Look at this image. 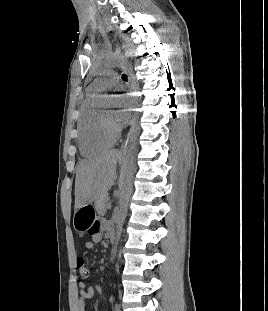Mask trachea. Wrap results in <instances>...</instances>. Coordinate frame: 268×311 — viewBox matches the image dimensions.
<instances>
[{"mask_svg": "<svg viewBox=\"0 0 268 311\" xmlns=\"http://www.w3.org/2000/svg\"><path fill=\"white\" fill-rule=\"evenodd\" d=\"M122 80H123V81H127V75H126V74H123V75H122Z\"/></svg>", "mask_w": 268, "mask_h": 311, "instance_id": "3493384b", "label": "trachea"}]
</instances>
